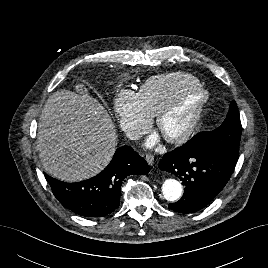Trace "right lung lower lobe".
Instances as JSON below:
<instances>
[{
	"mask_svg": "<svg viewBox=\"0 0 268 268\" xmlns=\"http://www.w3.org/2000/svg\"><path fill=\"white\" fill-rule=\"evenodd\" d=\"M149 166L130 146L116 150L109 165L98 175L76 183H65L45 174L57 200L74 213L102 217L120 204V188L125 177L147 174Z\"/></svg>",
	"mask_w": 268,
	"mask_h": 268,
	"instance_id": "obj_1",
	"label": "right lung lower lobe"
}]
</instances>
